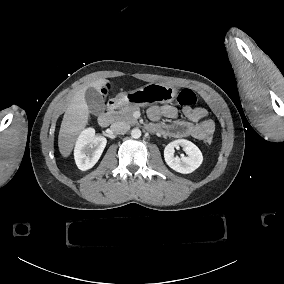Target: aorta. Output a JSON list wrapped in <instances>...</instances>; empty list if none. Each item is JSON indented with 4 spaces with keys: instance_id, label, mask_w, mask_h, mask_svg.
I'll use <instances>...</instances> for the list:
<instances>
[{
    "instance_id": "1",
    "label": "aorta",
    "mask_w": 284,
    "mask_h": 284,
    "mask_svg": "<svg viewBox=\"0 0 284 284\" xmlns=\"http://www.w3.org/2000/svg\"><path fill=\"white\" fill-rule=\"evenodd\" d=\"M131 136L135 139H138L141 137V130L139 128H133L131 131Z\"/></svg>"
}]
</instances>
